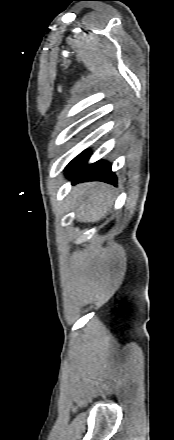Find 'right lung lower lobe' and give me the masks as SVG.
Returning <instances> with one entry per match:
<instances>
[{"mask_svg": "<svg viewBox=\"0 0 174 440\" xmlns=\"http://www.w3.org/2000/svg\"><path fill=\"white\" fill-rule=\"evenodd\" d=\"M73 184L86 181H104L110 184H116L117 179L111 171V164L106 161H98L87 165L86 153L76 170L68 176Z\"/></svg>", "mask_w": 174, "mask_h": 440, "instance_id": "1", "label": "right lung lower lobe"}]
</instances>
